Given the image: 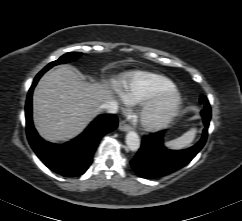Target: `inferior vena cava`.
Instances as JSON below:
<instances>
[{"label": "inferior vena cava", "mask_w": 242, "mask_h": 221, "mask_svg": "<svg viewBox=\"0 0 242 221\" xmlns=\"http://www.w3.org/2000/svg\"><path fill=\"white\" fill-rule=\"evenodd\" d=\"M100 109L105 110L107 113L116 114L118 112V103L113 100L105 101L101 106Z\"/></svg>", "instance_id": "1"}]
</instances>
